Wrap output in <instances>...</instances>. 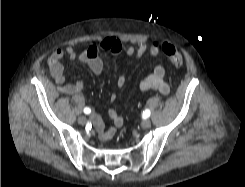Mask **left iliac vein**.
Listing matches in <instances>:
<instances>
[{
  "mask_svg": "<svg viewBox=\"0 0 245 187\" xmlns=\"http://www.w3.org/2000/svg\"><path fill=\"white\" fill-rule=\"evenodd\" d=\"M151 126V121L150 119H144L142 122H141V127L144 128V129H147Z\"/></svg>",
  "mask_w": 245,
  "mask_h": 187,
  "instance_id": "1",
  "label": "left iliac vein"
}]
</instances>
